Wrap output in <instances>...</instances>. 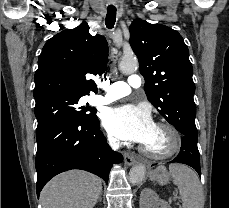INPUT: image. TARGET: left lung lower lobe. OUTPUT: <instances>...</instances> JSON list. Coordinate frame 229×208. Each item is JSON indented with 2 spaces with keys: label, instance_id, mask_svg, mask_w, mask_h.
I'll return each mask as SVG.
<instances>
[{
  "label": "left lung lower lobe",
  "instance_id": "left-lung-lower-lobe-1",
  "mask_svg": "<svg viewBox=\"0 0 229 208\" xmlns=\"http://www.w3.org/2000/svg\"><path fill=\"white\" fill-rule=\"evenodd\" d=\"M197 130L186 129L181 138V150L178 156L170 163L177 162L193 167L201 177L200 154L197 147Z\"/></svg>",
  "mask_w": 229,
  "mask_h": 208
}]
</instances>
